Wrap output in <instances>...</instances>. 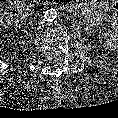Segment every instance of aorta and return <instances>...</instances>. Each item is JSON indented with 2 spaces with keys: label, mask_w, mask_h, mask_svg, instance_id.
Returning <instances> with one entry per match:
<instances>
[{
  "label": "aorta",
  "mask_w": 118,
  "mask_h": 118,
  "mask_svg": "<svg viewBox=\"0 0 118 118\" xmlns=\"http://www.w3.org/2000/svg\"><path fill=\"white\" fill-rule=\"evenodd\" d=\"M57 18V12L55 9H48L44 12V19L48 22H52Z\"/></svg>",
  "instance_id": "obj_1"
}]
</instances>
